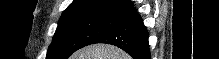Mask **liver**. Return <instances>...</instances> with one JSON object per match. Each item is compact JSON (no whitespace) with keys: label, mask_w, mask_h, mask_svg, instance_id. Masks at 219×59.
I'll return each mask as SVG.
<instances>
[{"label":"liver","mask_w":219,"mask_h":59,"mask_svg":"<svg viewBox=\"0 0 219 59\" xmlns=\"http://www.w3.org/2000/svg\"><path fill=\"white\" fill-rule=\"evenodd\" d=\"M70 59H131L123 50L108 44H94L75 52Z\"/></svg>","instance_id":"6515ba94"}]
</instances>
